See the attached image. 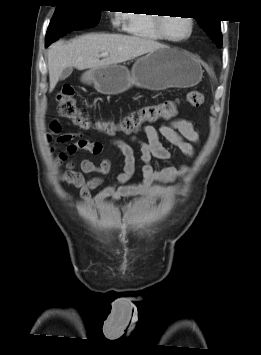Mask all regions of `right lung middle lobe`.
<instances>
[{
	"label": "right lung middle lobe",
	"mask_w": 261,
	"mask_h": 355,
	"mask_svg": "<svg viewBox=\"0 0 261 355\" xmlns=\"http://www.w3.org/2000/svg\"><path fill=\"white\" fill-rule=\"evenodd\" d=\"M91 5L92 3L87 0H72L57 5L47 29L46 39L64 32L97 25L102 10L94 9Z\"/></svg>",
	"instance_id": "right-lung-middle-lobe-1"
}]
</instances>
